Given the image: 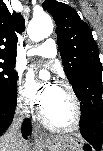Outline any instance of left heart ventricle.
I'll list each match as a JSON object with an SVG mask.
<instances>
[{"label":"left heart ventricle","instance_id":"b2bd125f","mask_svg":"<svg viewBox=\"0 0 103 151\" xmlns=\"http://www.w3.org/2000/svg\"><path fill=\"white\" fill-rule=\"evenodd\" d=\"M47 118L59 126H67L73 122L74 109L68 93L55 86L50 102L43 108Z\"/></svg>","mask_w":103,"mask_h":151}]
</instances>
